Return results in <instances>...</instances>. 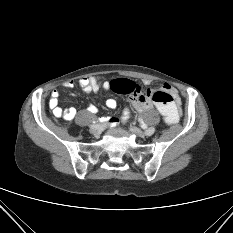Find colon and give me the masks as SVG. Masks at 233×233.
Masks as SVG:
<instances>
[{
	"label": "colon",
	"instance_id": "1",
	"mask_svg": "<svg viewBox=\"0 0 233 233\" xmlns=\"http://www.w3.org/2000/svg\"><path fill=\"white\" fill-rule=\"evenodd\" d=\"M111 89L118 94H129L131 99L145 102L153 101L160 113L163 115L166 124L174 125L178 122V109L169 92L164 89H142L138 84L127 79H116L111 82ZM130 117V110L126 108L122 119L127 121Z\"/></svg>",
	"mask_w": 233,
	"mask_h": 233
}]
</instances>
